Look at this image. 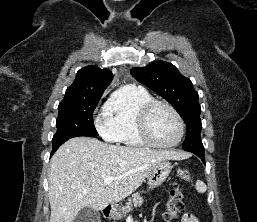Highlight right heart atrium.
Returning a JSON list of instances; mask_svg holds the SVG:
<instances>
[{
  "label": "right heart atrium",
  "mask_w": 257,
  "mask_h": 222,
  "mask_svg": "<svg viewBox=\"0 0 257 222\" xmlns=\"http://www.w3.org/2000/svg\"><path fill=\"white\" fill-rule=\"evenodd\" d=\"M97 130L102 137L111 140L109 122L107 118L97 123Z\"/></svg>",
  "instance_id": "d8ad5b80"
}]
</instances>
